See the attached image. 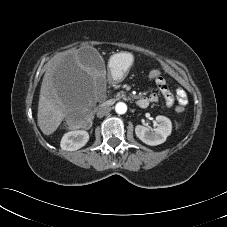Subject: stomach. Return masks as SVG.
I'll use <instances>...</instances> for the list:
<instances>
[{"label": "stomach", "mask_w": 227, "mask_h": 227, "mask_svg": "<svg viewBox=\"0 0 227 227\" xmlns=\"http://www.w3.org/2000/svg\"><path fill=\"white\" fill-rule=\"evenodd\" d=\"M133 63V55L129 52L114 54L109 60V70L114 81L123 80Z\"/></svg>", "instance_id": "stomach-1"}]
</instances>
